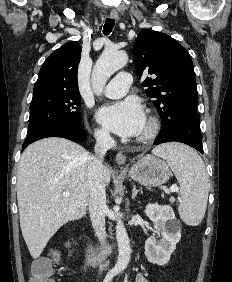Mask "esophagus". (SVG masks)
<instances>
[{"label":"esophagus","mask_w":232,"mask_h":282,"mask_svg":"<svg viewBox=\"0 0 232 282\" xmlns=\"http://www.w3.org/2000/svg\"><path fill=\"white\" fill-rule=\"evenodd\" d=\"M110 18H112V19H114V20H119V14H118V12L117 11H111L110 12ZM116 163L118 164V165H121V166H123L125 163H126V157H125V155L124 154H122V153H117L116 154Z\"/></svg>","instance_id":"obj_1"}]
</instances>
